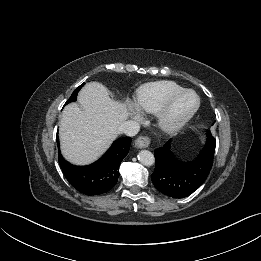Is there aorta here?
<instances>
[{
    "label": "aorta",
    "mask_w": 261,
    "mask_h": 261,
    "mask_svg": "<svg viewBox=\"0 0 261 261\" xmlns=\"http://www.w3.org/2000/svg\"><path fill=\"white\" fill-rule=\"evenodd\" d=\"M138 160L145 166H152L155 162L153 153L148 150H141L138 154Z\"/></svg>",
    "instance_id": "aorta-1"
}]
</instances>
